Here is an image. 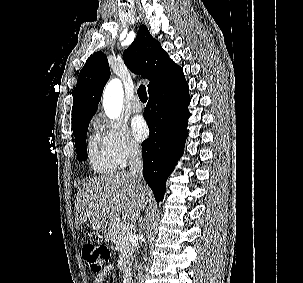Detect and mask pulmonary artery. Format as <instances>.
<instances>
[{"label": "pulmonary artery", "instance_id": "obj_1", "mask_svg": "<svg viewBox=\"0 0 303 283\" xmlns=\"http://www.w3.org/2000/svg\"><path fill=\"white\" fill-rule=\"evenodd\" d=\"M131 109L134 112H140L143 109V104L138 97H135L131 102Z\"/></svg>", "mask_w": 303, "mask_h": 283}]
</instances>
